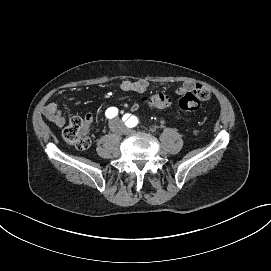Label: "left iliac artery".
I'll return each mask as SVG.
<instances>
[{
	"label": "left iliac artery",
	"mask_w": 271,
	"mask_h": 271,
	"mask_svg": "<svg viewBox=\"0 0 271 271\" xmlns=\"http://www.w3.org/2000/svg\"><path fill=\"white\" fill-rule=\"evenodd\" d=\"M123 123L127 127H134L137 122H136L135 117L133 115H131V114H125L123 116Z\"/></svg>",
	"instance_id": "left-iliac-artery-1"
}]
</instances>
